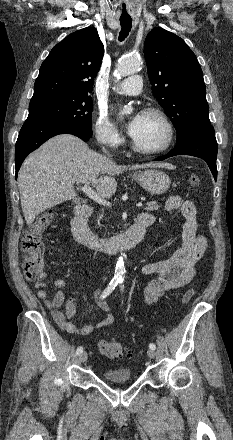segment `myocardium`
<instances>
[{
  "mask_svg": "<svg viewBox=\"0 0 233 440\" xmlns=\"http://www.w3.org/2000/svg\"><path fill=\"white\" fill-rule=\"evenodd\" d=\"M142 114L155 115V116L159 117L161 119V121L164 123V125L166 126L167 138H166L165 143L162 146L155 148V149L143 148V147L139 146L133 138H131L132 149L135 152H137L139 154H143V155H158V154H161V153L167 151L171 147V145L174 141V137H175V129H174L173 123L170 120V118L168 117V115L164 111H162L161 109L154 108V107L144 109L142 111Z\"/></svg>",
  "mask_w": 233,
  "mask_h": 440,
  "instance_id": "1",
  "label": "myocardium"
}]
</instances>
